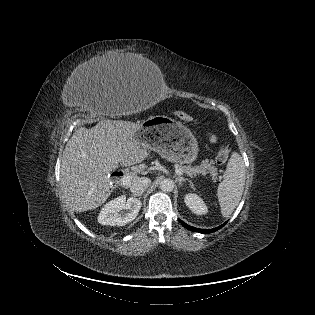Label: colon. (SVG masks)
Returning a JSON list of instances; mask_svg holds the SVG:
<instances>
[{"label":"colon","instance_id":"colon-1","mask_svg":"<svg viewBox=\"0 0 315 315\" xmlns=\"http://www.w3.org/2000/svg\"><path fill=\"white\" fill-rule=\"evenodd\" d=\"M177 116L186 122H192L193 121L192 116L189 115L188 113L184 112V111L177 112ZM229 153H230V148L228 146L222 147L218 151V153L215 157V162L219 165L225 164L229 158Z\"/></svg>","mask_w":315,"mask_h":315}]
</instances>
